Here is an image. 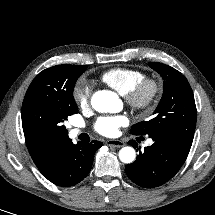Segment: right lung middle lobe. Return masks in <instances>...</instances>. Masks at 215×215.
<instances>
[{"label":"right lung middle lobe","mask_w":215,"mask_h":215,"mask_svg":"<svg viewBox=\"0 0 215 215\" xmlns=\"http://www.w3.org/2000/svg\"><path fill=\"white\" fill-rule=\"evenodd\" d=\"M86 65H57L40 72L30 84L22 104V126L43 140L68 137L63 125L78 112L73 89Z\"/></svg>","instance_id":"dd1d6c3e"}]
</instances>
